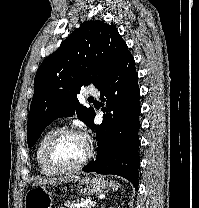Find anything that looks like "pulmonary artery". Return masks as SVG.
<instances>
[{
    "instance_id": "obj_1",
    "label": "pulmonary artery",
    "mask_w": 199,
    "mask_h": 208,
    "mask_svg": "<svg viewBox=\"0 0 199 208\" xmlns=\"http://www.w3.org/2000/svg\"><path fill=\"white\" fill-rule=\"evenodd\" d=\"M84 94L86 96H89L90 98L99 96L98 90L96 88H89V89L85 90Z\"/></svg>"
}]
</instances>
